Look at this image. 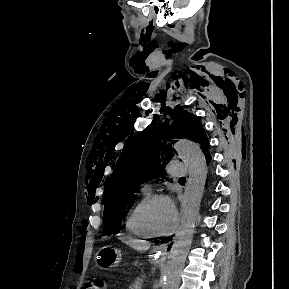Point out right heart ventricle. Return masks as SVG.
<instances>
[{
  "label": "right heart ventricle",
  "instance_id": "obj_1",
  "mask_svg": "<svg viewBox=\"0 0 289 289\" xmlns=\"http://www.w3.org/2000/svg\"><path fill=\"white\" fill-rule=\"evenodd\" d=\"M149 196H150L149 192L143 191L141 194V197L138 199L135 205L131 208V210L127 213L126 218H125L126 231L130 233L131 235L139 237V238H151L152 237L143 228L139 219L141 209Z\"/></svg>",
  "mask_w": 289,
  "mask_h": 289
}]
</instances>
